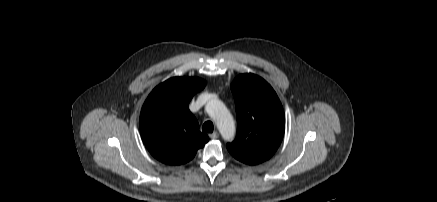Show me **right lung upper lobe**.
<instances>
[{
	"label": "right lung upper lobe",
	"instance_id": "cb5924a9",
	"mask_svg": "<svg viewBox=\"0 0 437 202\" xmlns=\"http://www.w3.org/2000/svg\"><path fill=\"white\" fill-rule=\"evenodd\" d=\"M194 77H173L159 84L147 97L140 114V133L158 161L181 165L192 160L209 140L189 110L192 97L205 87Z\"/></svg>",
	"mask_w": 437,
	"mask_h": 202
}]
</instances>
